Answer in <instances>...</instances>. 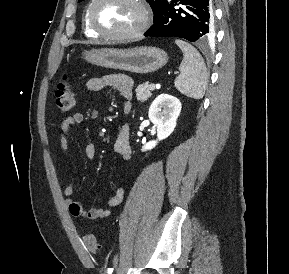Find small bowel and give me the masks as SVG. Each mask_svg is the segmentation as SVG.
<instances>
[{
  "label": "small bowel",
  "instance_id": "1",
  "mask_svg": "<svg viewBox=\"0 0 289 274\" xmlns=\"http://www.w3.org/2000/svg\"><path fill=\"white\" fill-rule=\"evenodd\" d=\"M133 81L131 78L121 74L108 75L103 77H95L87 81L86 89L88 91H99L102 89H115L122 97L125 107L129 108ZM84 116L81 112H75L68 116L61 123L60 147L64 155L71 157L69 153L68 135L71 127L82 123ZM130 128L128 124L120 127L114 144L115 153L123 160L127 161L131 156L129 145ZM84 154L87 158L92 159L96 155V146L93 142H87L84 146ZM74 188L72 183H68L64 188L66 203L71 214L77 218L89 220H97L107 218L111 215L112 209L118 206L124 197L123 187H118L113 196H111L105 207L86 208L83 203L73 198Z\"/></svg>",
  "mask_w": 289,
  "mask_h": 274
}]
</instances>
